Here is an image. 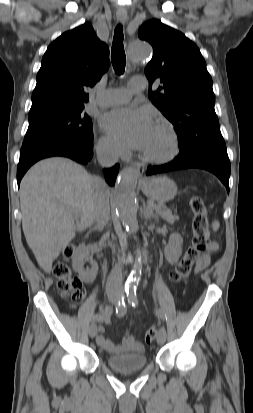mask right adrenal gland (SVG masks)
<instances>
[{"mask_svg":"<svg viewBox=\"0 0 253 413\" xmlns=\"http://www.w3.org/2000/svg\"><path fill=\"white\" fill-rule=\"evenodd\" d=\"M103 227H104V226H103ZM103 227H101V226H95V227H94V230L102 231V228H103Z\"/></svg>","mask_w":253,"mask_h":413,"instance_id":"obj_1","label":"right adrenal gland"}]
</instances>
